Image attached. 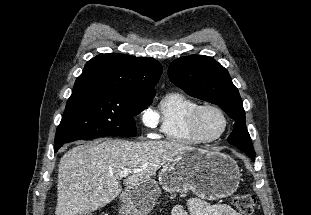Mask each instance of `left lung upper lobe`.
I'll return each mask as SVG.
<instances>
[{
	"label": "left lung upper lobe",
	"mask_w": 311,
	"mask_h": 215,
	"mask_svg": "<svg viewBox=\"0 0 311 215\" xmlns=\"http://www.w3.org/2000/svg\"><path fill=\"white\" fill-rule=\"evenodd\" d=\"M168 75L170 81L188 95L219 105L235 121L227 141L252 160L255 159V151L246 128L243 102L227 69L212 57L190 55L173 61L169 65Z\"/></svg>",
	"instance_id": "5c2ea615"
}]
</instances>
